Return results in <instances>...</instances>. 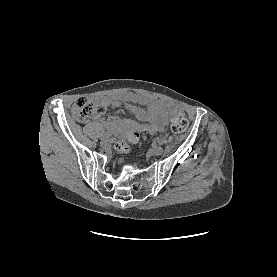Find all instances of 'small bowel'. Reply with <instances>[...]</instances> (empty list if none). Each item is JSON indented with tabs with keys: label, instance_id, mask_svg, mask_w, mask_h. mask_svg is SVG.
<instances>
[{
	"label": "small bowel",
	"instance_id": "c3829d8e",
	"mask_svg": "<svg viewBox=\"0 0 277 277\" xmlns=\"http://www.w3.org/2000/svg\"><path fill=\"white\" fill-rule=\"evenodd\" d=\"M97 101L102 106H119L122 103L128 102L146 104V110L130 103L127 104V108L138 119L146 123L145 127L149 133H156L164 130L168 123V116L173 111L172 105L165 101L132 92L117 93L112 96L101 97ZM127 123V120L117 116H109L106 120L101 121V125L110 131L120 130Z\"/></svg>",
	"mask_w": 277,
	"mask_h": 277
}]
</instances>
